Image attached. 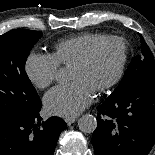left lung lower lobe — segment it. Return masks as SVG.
Listing matches in <instances>:
<instances>
[{"label": "left lung lower lobe", "mask_w": 155, "mask_h": 155, "mask_svg": "<svg viewBox=\"0 0 155 155\" xmlns=\"http://www.w3.org/2000/svg\"><path fill=\"white\" fill-rule=\"evenodd\" d=\"M98 112L97 155H147L155 143V78L112 93Z\"/></svg>", "instance_id": "obj_1"}]
</instances>
